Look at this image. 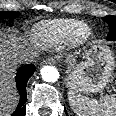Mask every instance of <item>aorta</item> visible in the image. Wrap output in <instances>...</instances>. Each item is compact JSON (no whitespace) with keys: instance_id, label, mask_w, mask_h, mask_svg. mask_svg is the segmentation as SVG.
<instances>
[{"instance_id":"aorta-1","label":"aorta","mask_w":116,"mask_h":116,"mask_svg":"<svg viewBox=\"0 0 116 116\" xmlns=\"http://www.w3.org/2000/svg\"><path fill=\"white\" fill-rule=\"evenodd\" d=\"M42 79L46 82H56L59 78V72L55 67L44 66L40 70Z\"/></svg>"}]
</instances>
